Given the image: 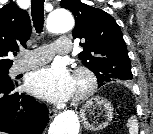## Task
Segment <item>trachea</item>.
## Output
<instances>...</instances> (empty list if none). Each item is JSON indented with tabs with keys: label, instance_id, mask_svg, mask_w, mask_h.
Listing matches in <instances>:
<instances>
[{
	"label": "trachea",
	"instance_id": "obj_1",
	"mask_svg": "<svg viewBox=\"0 0 153 134\" xmlns=\"http://www.w3.org/2000/svg\"><path fill=\"white\" fill-rule=\"evenodd\" d=\"M44 1L45 0H32L31 2L32 20L37 33H41L43 30Z\"/></svg>",
	"mask_w": 153,
	"mask_h": 134
}]
</instances>
